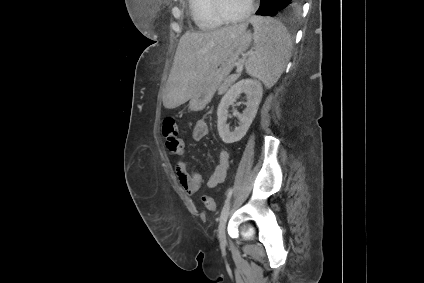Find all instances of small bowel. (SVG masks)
I'll list each match as a JSON object with an SVG mask.
<instances>
[{
    "label": "small bowel",
    "instance_id": "1",
    "mask_svg": "<svg viewBox=\"0 0 424 283\" xmlns=\"http://www.w3.org/2000/svg\"><path fill=\"white\" fill-rule=\"evenodd\" d=\"M208 132L209 128L205 118H199L198 120H196L192 130L193 138L195 140H201L208 134ZM166 146L169 152H171L172 147H170L168 144H166ZM181 153L175 152L173 154ZM231 156L232 154L229 150L220 151L218 163L215 166L211 175L205 181L203 180L201 174L191 170L190 165L185 161L177 162L175 167L176 177L182 188L188 194L196 193L203 184H205L209 188H214L225 181L230 166Z\"/></svg>",
    "mask_w": 424,
    "mask_h": 283
}]
</instances>
